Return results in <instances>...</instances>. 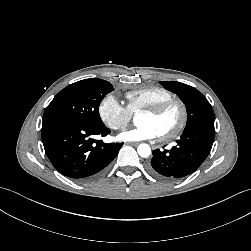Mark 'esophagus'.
Masks as SVG:
<instances>
[{
    "mask_svg": "<svg viewBox=\"0 0 251 251\" xmlns=\"http://www.w3.org/2000/svg\"><path fill=\"white\" fill-rule=\"evenodd\" d=\"M126 144L132 145V146H137L139 142H127Z\"/></svg>",
    "mask_w": 251,
    "mask_h": 251,
    "instance_id": "esophagus-1",
    "label": "esophagus"
}]
</instances>
